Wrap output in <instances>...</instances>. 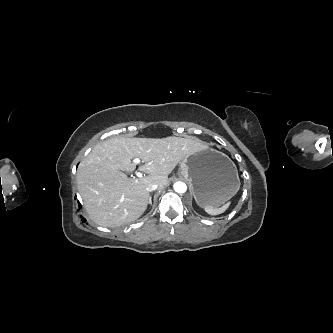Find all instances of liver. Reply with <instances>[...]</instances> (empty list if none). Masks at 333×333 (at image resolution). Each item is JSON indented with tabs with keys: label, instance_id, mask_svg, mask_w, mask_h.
<instances>
[{
	"label": "liver",
	"instance_id": "obj_1",
	"mask_svg": "<svg viewBox=\"0 0 333 333\" xmlns=\"http://www.w3.org/2000/svg\"><path fill=\"white\" fill-rule=\"evenodd\" d=\"M200 140L166 137H114L97 144L79 164L77 184L90 218L103 227H117L135 221L147 209V187H163L180 161L206 149ZM139 158L144 176L128 178Z\"/></svg>",
	"mask_w": 333,
	"mask_h": 333
}]
</instances>
